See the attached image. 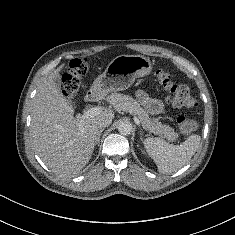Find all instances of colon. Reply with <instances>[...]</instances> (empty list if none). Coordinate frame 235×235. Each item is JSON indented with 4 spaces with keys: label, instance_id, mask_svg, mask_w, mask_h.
<instances>
[{
    "label": "colon",
    "instance_id": "obj_1",
    "mask_svg": "<svg viewBox=\"0 0 235 235\" xmlns=\"http://www.w3.org/2000/svg\"><path fill=\"white\" fill-rule=\"evenodd\" d=\"M88 62L85 59H74L70 62L68 71L63 75V89L66 95L76 92L79 85V78L86 73ZM156 78L160 86L168 93V98L176 108L192 109L197 106L190 88L183 84H176L168 73L163 70L156 72ZM179 131L184 135H190L197 129V123L187 115H180L177 118Z\"/></svg>",
    "mask_w": 235,
    "mask_h": 235
}]
</instances>
